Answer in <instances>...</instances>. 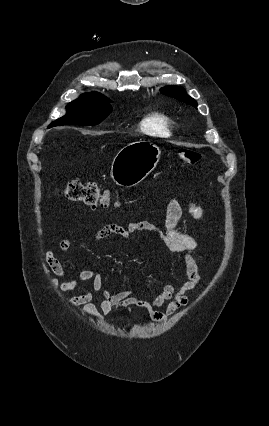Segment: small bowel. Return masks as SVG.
<instances>
[{"label":"small bowel","instance_id":"c3829d8e","mask_svg":"<svg viewBox=\"0 0 269 426\" xmlns=\"http://www.w3.org/2000/svg\"><path fill=\"white\" fill-rule=\"evenodd\" d=\"M188 214L200 221L207 219L205 210L194 202L187 204ZM183 208L175 199L166 207V231L161 230L156 224L149 221H132L126 226L118 224L102 225L100 229L90 236V240H101L113 235L128 238L138 232H150L155 234L164 244L166 251L181 257L187 279L180 284L167 283L160 293L151 299L137 297L131 290H104L100 273L94 268L80 271L78 279L74 278L58 260L53 251H47L45 255L44 271L47 275L53 273L57 278H50V283L60 292L66 293L75 290L79 281L91 282L92 288L84 293L66 298L70 306L81 307L85 315L96 320L110 314L115 308H137L144 310L149 317L156 321H164L178 310L186 307L189 298L186 293L192 292L200 284L201 274L197 262L196 250L198 242L180 228ZM71 247V241L64 239L60 242V250L66 253ZM93 292L100 297L99 305L92 302ZM163 306L165 310H160Z\"/></svg>","mask_w":269,"mask_h":426}]
</instances>
